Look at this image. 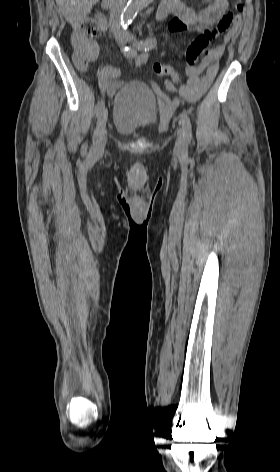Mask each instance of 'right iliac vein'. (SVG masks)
<instances>
[{
    "mask_svg": "<svg viewBox=\"0 0 280 472\" xmlns=\"http://www.w3.org/2000/svg\"><path fill=\"white\" fill-rule=\"evenodd\" d=\"M123 42V41H122ZM108 112L103 108L98 115L96 129L93 137V144L91 146V155L93 157L101 156L106 145V123Z\"/></svg>",
    "mask_w": 280,
    "mask_h": 472,
    "instance_id": "63e3f726",
    "label": "right iliac vein"
}]
</instances>
